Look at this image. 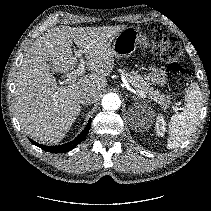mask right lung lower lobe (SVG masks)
Returning a JSON list of instances; mask_svg holds the SVG:
<instances>
[{
	"label": "right lung lower lobe",
	"instance_id": "98d812e1",
	"mask_svg": "<svg viewBox=\"0 0 211 211\" xmlns=\"http://www.w3.org/2000/svg\"><path fill=\"white\" fill-rule=\"evenodd\" d=\"M91 125V119L88 121L87 126L85 129L73 140L63 145L58 146H46L39 143L34 142L30 139V142L38 147H40L42 150H45L47 152L51 153H64L72 150L74 147H76L78 144H80L84 138L87 136L89 129Z\"/></svg>",
	"mask_w": 211,
	"mask_h": 211
}]
</instances>
